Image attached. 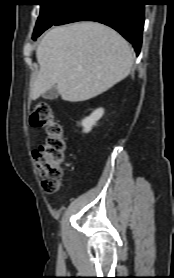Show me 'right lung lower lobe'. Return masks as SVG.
Masks as SVG:
<instances>
[{
    "instance_id": "1",
    "label": "right lung lower lobe",
    "mask_w": 174,
    "mask_h": 278,
    "mask_svg": "<svg viewBox=\"0 0 174 278\" xmlns=\"http://www.w3.org/2000/svg\"><path fill=\"white\" fill-rule=\"evenodd\" d=\"M143 1L74 0L53 25L76 21H97L106 24L132 43L138 55L144 25Z\"/></svg>"
}]
</instances>
